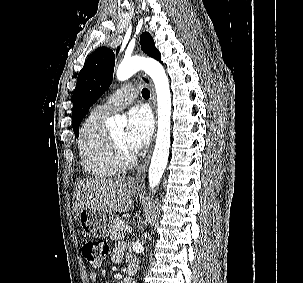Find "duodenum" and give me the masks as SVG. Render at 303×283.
<instances>
[{
  "label": "duodenum",
  "mask_w": 303,
  "mask_h": 283,
  "mask_svg": "<svg viewBox=\"0 0 303 283\" xmlns=\"http://www.w3.org/2000/svg\"><path fill=\"white\" fill-rule=\"evenodd\" d=\"M137 270H138V262L136 260L130 261L127 266V274L133 275L137 272Z\"/></svg>",
  "instance_id": "duodenum-1"
}]
</instances>
